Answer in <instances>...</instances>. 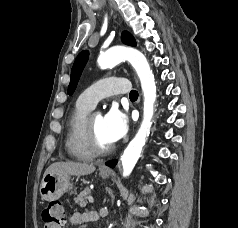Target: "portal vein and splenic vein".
<instances>
[{
	"label": "portal vein and splenic vein",
	"instance_id": "18ae733b",
	"mask_svg": "<svg viewBox=\"0 0 238 228\" xmlns=\"http://www.w3.org/2000/svg\"><path fill=\"white\" fill-rule=\"evenodd\" d=\"M88 200H89L90 203H93V202H94V199H93V197H91V196L88 198Z\"/></svg>",
	"mask_w": 238,
	"mask_h": 228
}]
</instances>
